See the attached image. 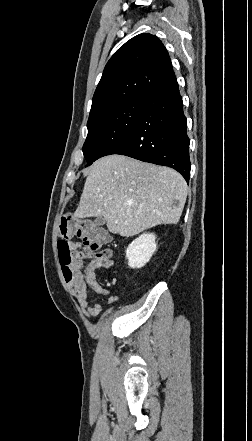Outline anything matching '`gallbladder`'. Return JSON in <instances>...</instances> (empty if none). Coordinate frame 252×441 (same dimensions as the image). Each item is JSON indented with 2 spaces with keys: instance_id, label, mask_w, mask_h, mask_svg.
I'll use <instances>...</instances> for the list:
<instances>
[{
  "instance_id": "gallbladder-1",
  "label": "gallbladder",
  "mask_w": 252,
  "mask_h": 441,
  "mask_svg": "<svg viewBox=\"0 0 252 441\" xmlns=\"http://www.w3.org/2000/svg\"><path fill=\"white\" fill-rule=\"evenodd\" d=\"M94 224L97 225V226L104 225L105 224V219L103 217H97L94 220Z\"/></svg>"
}]
</instances>
